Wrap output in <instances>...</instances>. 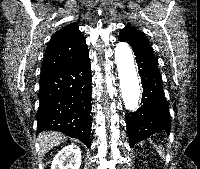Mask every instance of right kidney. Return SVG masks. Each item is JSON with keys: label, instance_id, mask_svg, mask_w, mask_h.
Masks as SVG:
<instances>
[{"label": "right kidney", "instance_id": "obj_1", "mask_svg": "<svg viewBox=\"0 0 200 169\" xmlns=\"http://www.w3.org/2000/svg\"><path fill=\"white\" fill-rule=\"evenodd\" d=\"M81 165V150L71 144L62 148L54 157L51 169H79Z\"/></svg>", "mask_w": 200, "mask_h": 169}]
</instances>
